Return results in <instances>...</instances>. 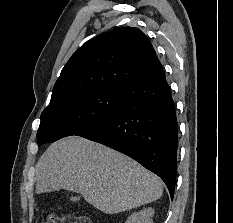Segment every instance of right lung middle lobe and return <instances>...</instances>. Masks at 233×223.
Here are the masks:
<instances>
[{"label": "right lung middle lobe", "mask_w": 233, "mask_h": 223, "mask_svg": "<svg viewBox=\"0 0 233 223\" xmlns=\"http://www.w3.org/2000/svg\"><path fill=\"white\" fill-rule=\"evenodd\" d=\"M121 89L93 88L51 100L41 114L38 144L81 135L113 116L121 108Z\"/></svg>", "instance_id": "right-lung-middle-lobe-1"}]
</instances>
